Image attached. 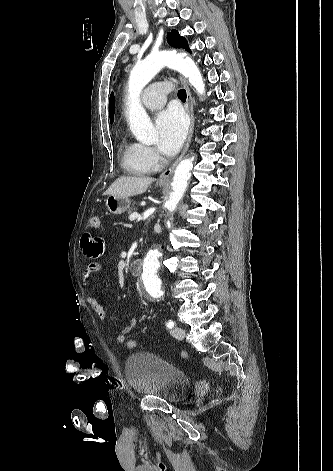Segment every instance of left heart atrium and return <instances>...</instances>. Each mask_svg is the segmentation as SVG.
I'll return each instance as SVG.
<instances>
[{
    "instance_id": "obj_1",
    "label": "left heart atrium",
    "mask_w": 333,
    "mask_h": 471,
    "mask_svg": "<svg viewBox=\"0 0 333 471\" xmlns=\"http://www.w3.org/2000/svg\"><path fill=\"white\" fill-rule=\"evenodd\" d=\"M157 147L163 154L173 155L181 147L188 129V122L177 108L160 112L155 120Z\"/></svg>"
}]
</instances>
